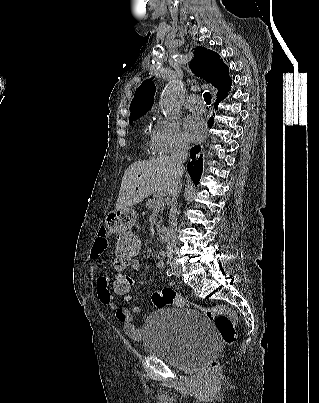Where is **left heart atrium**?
Here are the masks:
<instances>
[{
    "label": "left heart atrium",
    "instance_id": "39dd6f15",
    "mask_svg": "<svg viewBox=\"0 0 319 403\" xmlns=\"http://www.w3.org/2000/svg\"><path fill=\"white\" fill-rule=\"evenodd\" d=\"M184 130L190 141H198L205 133L204 121L197 115H189L184 121Z\"/></svg>",
    "mask_w": 319,
    "mask_h": 403
}]
</instances>
